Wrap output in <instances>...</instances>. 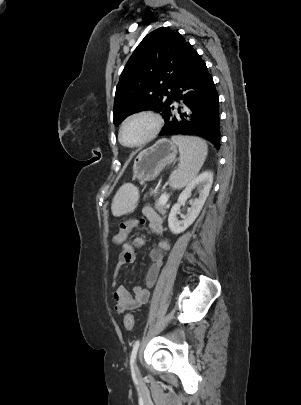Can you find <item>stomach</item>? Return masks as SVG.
Masks as SVG:
<instances>
[{"label": "stomach", "mask_w": 301, "mask_h": 405, "mask_svg": "<svg viewBox=\"0 0 301 405\" xmlns=\"http://www.w3.org/2000/svg\"><path fill=\"white\" fill-rule=\"evenodd\" d=\"M177 154V148L168 139H160L153 146L141 151L133 165V179L140 182L154 180L162 169L171 164Z\"/></svg>", "instance_id": "1"}]
</instances>
